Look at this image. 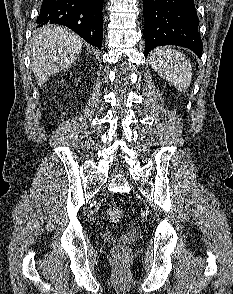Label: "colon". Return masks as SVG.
<instances>
[{
    "label": "colon",
    "mask_w": 233,
    "mask_h": 294,
    "mask_svg": "<svg viewBox=\"0 0 233 294\" xmlns=\"http://www.w3.org/2000/svg\"><path fill=\"white\" fill-rule=\"evenodd\" d=\"M107 218L112 222H118L123 217L124 211L120 206H111L107 209ZM129 251L126 246L119 245L114 251L115 259L119 263H124L128 258Z\"/></svg>",
    "instance_id": "obj_1"
}]
</instances>
